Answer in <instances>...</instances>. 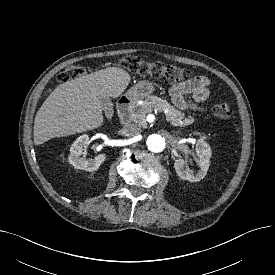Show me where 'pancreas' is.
Returning a JSON list of instances; mask_svg holds the SVG:
<instances>
[{"instance_id": "pancreas-1", "label": "pancreas", "mask_w": 275, "mask_h": 275, "mask_svg": "<svg viewBox=\"0 0 275 275\" xmlns=\"http://www.w3.org/2000/svg\"><path fill=\"white\" fill-rule=\"evenodd\" d=\"M158 111H165L166 120L173 126H186L194 122L192 116L186 117L184 113H181L174 106L169 104L166 100L157 96H148L142 105H139L132 109V119L142 125L146 124V114L151 113L154 109Z\"/></svg>"}]
</instances>
